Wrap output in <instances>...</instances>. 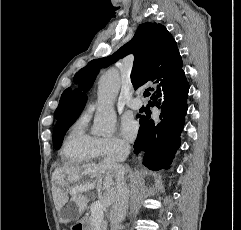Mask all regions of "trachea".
Masks as SVG:
<instances>
[{
  "label": "trachea",
  "instance_id": "trachea-1",
  "mask_svg": "<svg viewBox=\"0 0 241 230\" xmlns=\"http://www.w3.org/2000/svg\"><path fill=\"white\" fill-rule=\"evenodd\" d=\"M149 95H150L149 91L146 90V91L144 92V96L146 97V96H149Z\"/></svg>",
  "mask_w": 241,
  "mask_h": 230
}]
</instances>
